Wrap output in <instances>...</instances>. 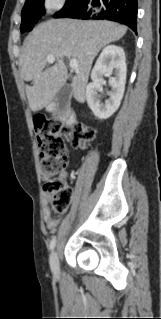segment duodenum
<instances>
[{
  "instance_id": "duodenum-1",
  "label": "duodenum",
  "mask_w": 161,
  "mask_h": 319,
  "mask_svg": "<svg viewBox=\"0 0 161 319\" xmlns=\"http://www.w3.org/2000/svg\"><path fill=\"white\" fill-rule=\"evenodd\" d=\"M50 112L53 114L55 119L65 121L68 124H71L75 120L74 114L71 111H68L66 114H62L61 105L57 103L52 104Z\"/></svg>"
}]
</instances>
